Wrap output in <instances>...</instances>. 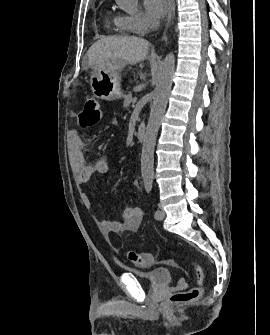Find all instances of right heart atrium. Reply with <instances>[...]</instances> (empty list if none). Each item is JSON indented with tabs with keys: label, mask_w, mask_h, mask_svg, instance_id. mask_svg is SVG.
Returning a JSON list of instances; mask_svg holds the SVG:
<instances>
[{
	"label": "right heart atrium",
	"mask_w": 270,
	"mask_h": 335,
	"mask_svg": "<svg viewBox=\"0 0 270 335\" xmlns=\"http://www.w3.org/2000/svg\"><path fill=\"white\" fill-rule=\"evenodd\" d=\"M130 31L138 35H146L150 30V22L144 15L125 16Z\"/></svg>",
	"instance_id": "right-heart-atrium-1"
}]
</instances>
